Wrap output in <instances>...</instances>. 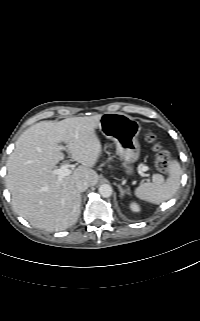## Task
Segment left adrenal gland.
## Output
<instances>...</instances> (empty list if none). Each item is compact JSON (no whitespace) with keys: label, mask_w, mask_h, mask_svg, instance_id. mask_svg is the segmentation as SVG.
<instances>
[{"label":"left adrenal gland","mask_w":200,"mask_h":321,"mask_svg":"<svg viewBox=\"0 0 200 321\" xmlns=\"http://www.w3.org/2000/svg\"><path fill=\"white\" fill-rule=\"evenodd\" d=\"M118 189L120 191V197L122 198L125 193H128V190H124L121 185H118Z\"/></svg>","instance_id":"left-adrenal-gland-1"}]
</instances>
